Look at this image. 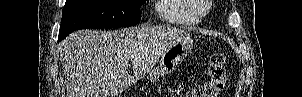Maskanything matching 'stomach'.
<instances>
[{"label": "stomach", "instance_id": "0dacf381", "mask_svg": "<svg viewBox=\"0 0 302 97\" xmlns=\"http://www.w3.org/2000/svg\"><path fill=\"white\" fill-rule=\"evenodd\" d=\"M192 46L193 40L190 35L182 33L175 37L161 55L158 66L149 72L148 81L155 83L161 77L175 71L190 53Z\"/></svg>", "mask_w": 302, "mask_h": 97}]
</instances>
